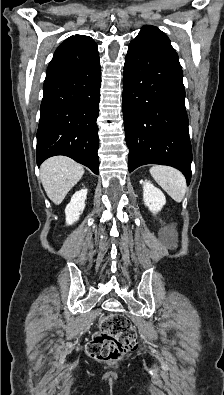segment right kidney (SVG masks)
Listing matches in <instances>:
<instances>
[{
    "instance_id": "obj_1",
    "label": "right kidney",
    "mask_w": 224,
    "mask_h": 395,
    "mask_svg": "<svg viewBox=\"0 0 224 395\" xmlns=\"http://www.w3.org/2000/svg\"><path fill=\"white\" fill-rule=\"evenodd\" d=\"M87 198V189H81L75 192L70 203L65 208L66 223L72 225L79 219L85 208V200Z\"/></svg>"
}]
</instances>
